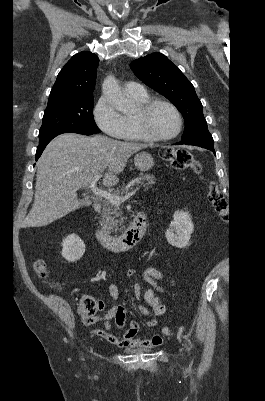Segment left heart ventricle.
<instances>
[{
    "instance_id": "b2bd125f",
    "label": "left heart ventricle",
    "mask_w": 265,
    "mask_h": 401,
    "mask_svg": "<svg viewBox=\"0 0 265 401\" xmlns=\"http://www.w3.org/2000/svg\"><path fill=\"white\" fill-rule=\"evenodd\" d=\"M144 125L149 135L166 137L177 131L178 121L172 110L158 105L145 117Z\"/></svg>"
}]
</instances>
